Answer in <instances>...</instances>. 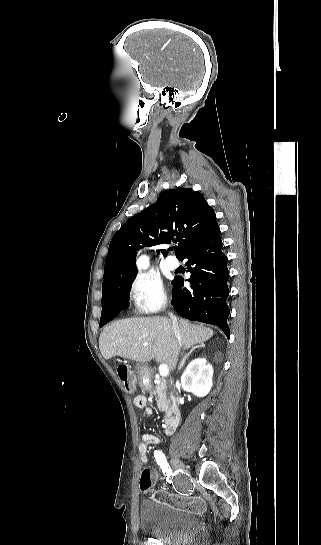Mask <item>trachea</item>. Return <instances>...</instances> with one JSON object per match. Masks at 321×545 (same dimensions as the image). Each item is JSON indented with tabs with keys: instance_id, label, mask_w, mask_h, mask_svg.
<instances>
[{
	"instance_id": "obj_1",
	"label": "trachea",
	"mask_w": 321,
	"mask_h": 545,
	"mask_svg": "<svg viewBox=\"0 0 321 545\" xmlns=\"http://www.w3.org/2000/svg\"><path fill=\"white\" fill-rule=\"evenodd\" d=\"M177 249H178V247H173V250H177Z\"/></svg>"
}]
</instances>
